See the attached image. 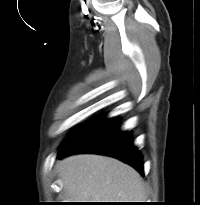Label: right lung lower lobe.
I'll return each instance as SVG.
<instances>
[{
  "label": "right lung lower lobe",
  "mask_w": 200,
  "mask_h": 205,
  "mask_svg": "<svg viewBox=\"0 0 200 205\" xmlns=\"http://www.w3.org/2000/svg\"><path fill=\"white\" fill-rule=\"evenodd\" d=\"M116 122L103 117L97 119L62 146L58 158L75 153L103 154L128 163L143 175L142 156L133 145L132 135L119 131Z\"/></svg>",
  "instance_id": "obj_1"
}]
</instances>
